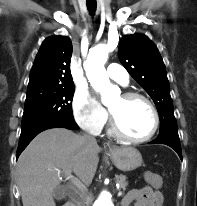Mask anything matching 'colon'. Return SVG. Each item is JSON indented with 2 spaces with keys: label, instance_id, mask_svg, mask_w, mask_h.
Returning <instances> with one entry per match:
<instances>
[{
  "label": "colon",
  "instance_id": "obj_1",
  "mask_svg": "<svg viewBox=\"0 0 197 206\" xmlns=\"http://www.w3.org/2000/svg\"><path fill=\"white\" fill-rule=\"evenodd\" d=\"M150 182L152 183L153 187L157 188L161 184V179L156 174H151L149 177Z\"/></svg>",
  "mask_w": 197,
  "mask_h": 206
}]
</instances>
